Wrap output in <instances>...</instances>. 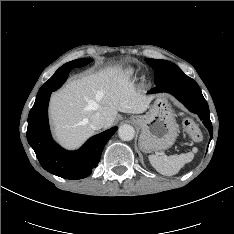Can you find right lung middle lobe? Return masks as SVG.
Masks as SVG:
<instances>
[{
    "label": "right lung middle lobe",
    "instance_id": "1",
    "mask_svg": "<svg viewBox=\"0 0 234 234\" xmlns=\"http://www.w3.org/2000/svg\"><path fill=\"white\" fill-rule=\"evenodd\" d=\"M91 61L92 60L89 59V58L77 59V60H73V61H70V62L64 64L60 68H65V69L72 70L73 68L82 67V66L90 63Z\"/></svg>",
    "mask_w": 234,
    "mask_h": 234
}]
</instances>
